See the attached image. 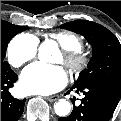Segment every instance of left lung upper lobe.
I'll list each match as a JSON object with an SVG mask.
<instances>
[{
  "instance_id": "obj_1",
  "label": "left lung upper lobe",
  "mask_w": 121,
  "mask_h": 121,
  "mask_svg": "<svg viewBox=\"0 0 121 121\" xmlns=\"http://www.w3.org/2000/svg\"><path fill=\"white\" fill-rule=\"evenodd\" d=\"M83 35L92 45L93 56L74 85L99 84L121 95V44L105 27L77 20L60 26Z\"/></svg>"
}]
</instances>
